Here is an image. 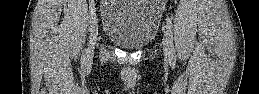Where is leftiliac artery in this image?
Segmentation results:
<instances>
[{"label": "left iliac artery", "instance_id": "44dca946", "mask_svg": "<svg viewBox=\"0 0 259 94\" xmlns=\"http://www.w3.org/2000/svg\"><path fill=\"white\" fill-rule=\"evenodd\" d=\"M166 34L168 36L169 43V59L170 63L174 66L176 63L175 49L173 45V25L170 17H166Z\"/></svg>", "mask_w": 259, "mask_h": 94}]
</instances>
